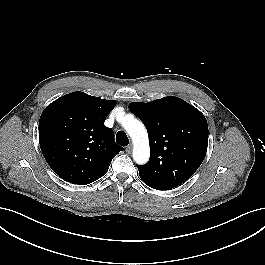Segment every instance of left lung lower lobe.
I'll use <instances>...</instances> for the list:
<instances>
[{
    "label": "left lung lower lobe",
    "mask_w": 265,
    "mask_h": 265,
    "mask_svg": "<svg viewBox=\"0 0 265 265\" xmlns=\"http://www.w3.org/2000/svg\"><path fill=\"white\" fill-rule=\"evenodd\" d=\"M147 185V184H146ZM149 187H151V188H153V189H157V190H160V189H158V188H156V187H153V186H150V185H148Z\"/></svg>",
    "instance_id": "left-lung-lower-lobe-1"
}]
</instances>
